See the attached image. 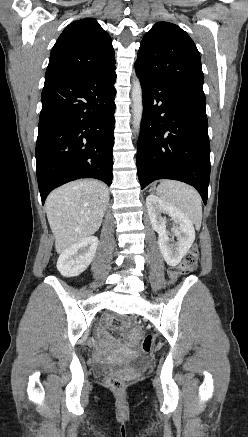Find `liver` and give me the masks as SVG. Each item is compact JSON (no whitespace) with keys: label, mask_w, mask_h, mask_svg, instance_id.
<instances>
[{"label":"liver","mask_w":248,"mask_h":437,"mask_svg":"<svg viewBox=\"0 0 248 437\" xmlns=\"http://www.w3.org/2000/svg\"><path fill=\"white\" fill-rule=\"evenodd\" d=\"M109 191L97 180H77L48 196L46 214L57 253L90 237L101 226Z\"/></svg>","instance_id":"liver-1"}]
</instances>
